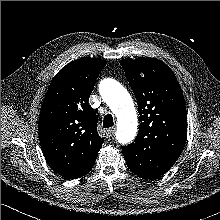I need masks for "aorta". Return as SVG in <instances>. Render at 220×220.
<instances>
[{"label":"aorta","instance_id":"obj_1","mask_svg":"<svg viewBox=\"0 0 220 220\" xmlns=\"http://www.w3.org/2000/svg\"><path fill=\"white\" fill-rule=\"evenodd\" d=\"M100 94L117 118L116 139L121 144L130 143L137 132L138 119L132 98L116 80L101 82Z\"/></svg>","mask_w":220,"mask_h":220}]
</instances>
